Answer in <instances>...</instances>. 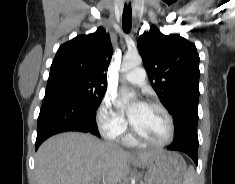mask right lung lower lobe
Instances as JSON below:
<instances>
[{
  "mask_svg": "<svg viewBox=\"0 0 235 184\" xmlns=\"http://www.w3.org/2000/svg\"><path fill=\"white\" fill-rule=\"evenodd\" d=\"M59 88L46 89L38 117L35 150L52 135L66 131L89 132L98 137L95 111Z\"/></svg>",
  "mask_w": 235,
  "mask_h": 184,
  "instance_id": "obj_1",
  "label": "right lung lower lobe"
}]
</instances>
